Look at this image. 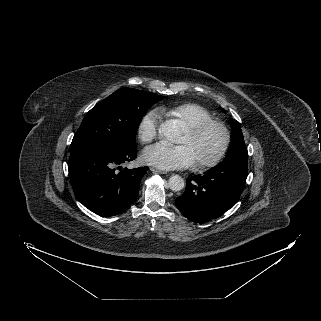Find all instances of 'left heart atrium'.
<instances>
[{"instance_id": "39dd6f15", "label": "left heart atrium", "mask_w": 321, "mask_h": 321, "mask_svg": "<svg viewBox=\"0 0 321 321\" xmlns=\"http://www.w3.org/2000/svg\"><path fill=\"white\" fill-rule=\"evenodd\" d=\"M143 159L147 164L163 170L184 168L194 163L192 151L186 144L157 143L151 145L144 150Z\"/></svg>"}]
</instances>
